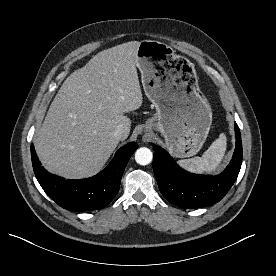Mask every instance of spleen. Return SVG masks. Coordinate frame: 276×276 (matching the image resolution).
I'll use <instances>...</instances> for the list:
<instances>
[{"label": "spleen", "mask_w": 276, "mask_h": 276, "mask_svg": "<svg viewBox=\"0 0 276 276\" xmlns=\"http://www.w3.org/2000/svg\"><path fill=\"white\" fill-rule=\"evenodd\" d=\"M226 135L221 133L201 157L179 160L178 164L183 169L197 174L210 173L222 161L226 151Z\"/></svg>", "instance_id": "spleen-1"}]
</instances>
